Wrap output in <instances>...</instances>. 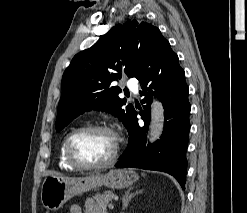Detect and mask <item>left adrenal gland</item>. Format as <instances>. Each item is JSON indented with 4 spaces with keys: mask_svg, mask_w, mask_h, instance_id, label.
Listing matches in <instances>:
<instances>
[{
    "mask_svg": "<svg viewBox=\"0 0 247 213\" xmlns=\"http://www.w3.org/2000/svg\"><path fill=\"white\" fill-rule=\"evenodd\" d=\"M132 190H133V187L129 188V189L125 192V194H124V196H123V198H122V200H123V207H122V209H126L127 206H128L129 201H130L136 194H138L139 192H142V190H139V191H136V192H134V193H131Z\"/></svg>",
    "mask_w": 247,
    "mask_h": 213,
    "instance_id": "left-adrenal-gland-1",
    "label": "left adrenal gland"
}]
</instances>
